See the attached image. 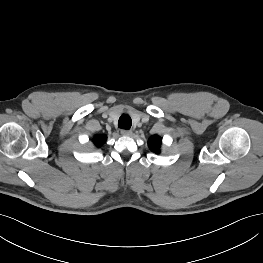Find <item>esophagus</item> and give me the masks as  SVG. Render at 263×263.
I'll use <instances>...</instances> for the list:
<instances>
[{
	"instance_id": "34e87169",
	"label": "esophagus",
	"mask_w": 263,
	"mask_h": 263,
	"mask_svg": "<svg viewBox=\"0 0 263 263\" xmlns=\"http://www.w3.org/2000/svg\"><path fill=\"white\" fill-rule=\"evenodd\" d=\"M121 134L123 136H131L132 135V131L131 130L122 129L121 130Z\"/></svg>"
}]
</instances>
